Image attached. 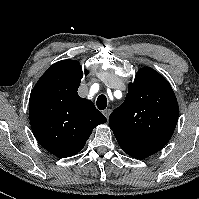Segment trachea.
<instances>
[{"label": "trachea", "mask_w": 199, "mask_h": 199, "mask_svg": "<svg viewBox=\"0 0 199 199\" xmlns=\"http://www.w3.org/2000/svg\"><path fill=\"white\" fill-rule=\"evenodd\" d=\"M96 105H97L98 109L104 110L107 107V98H106V96L105 95H100L97 98Z\"/></svg>", "instance_id": "1"}]
</instances>
